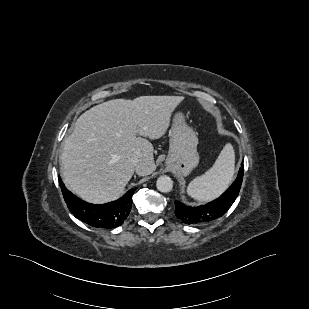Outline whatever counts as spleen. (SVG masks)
<instances>
[{
  "label": "spleen",
  "mask_w": 309,
  "mask_h": 309,
  "mask_svg": "<svg viewBox=\"0 0 309 309\" xmlns=\"http://www.w3.org/2000/svg\"><path fill=\"white\" fill-rule=\"evenodd\" d=\"M235 167V153L231 144H226L213 166L203 175L190 182L187 193L199 201L218 197L232 181Z\"/></svg>",
  "instance_id": "3e777b00"
}]
</instances>
